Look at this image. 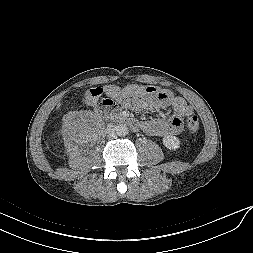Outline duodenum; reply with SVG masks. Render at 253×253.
Segmentation results:
<instances>
[{
  "instance_id": "410a0bca",
  "label": "duodenum",
  "mask_w": 253,
  "mask_h": 253,
  "mask_svg": "<svg viewBox=\"0 0 253 253\" xmlns=\"http://www.w3.org/2000/svg\"><path fill=\"white\" fill-rule=\"evenodd\" d=\"M96 113H97V115L105 114L114 122L127 125V126L131 127L132 129H138L141 126L137 120H135L129 116L122 115L112 108L98 107L96 109Z\"/></svg>"
}]
</instances>
